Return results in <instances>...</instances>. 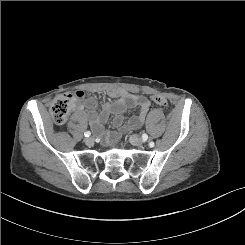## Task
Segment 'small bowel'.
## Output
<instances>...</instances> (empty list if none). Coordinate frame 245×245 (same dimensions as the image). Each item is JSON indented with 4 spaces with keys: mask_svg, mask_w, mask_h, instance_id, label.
<instances>
[{
    "mask_svg": "<svg viewBox=\"0 0 245 245\" xmlns=\"http://www.w3.org/2000/svg\"><path fill=\"white\" fill-rule=\"evenodd\" d=\"M77 92H83L81 90ZM107 94L113 101H106L102 110H95L96 103L92 98L84 100L83 105L88 109L87 117L94 133L104 135V124L110 115H114L113 127L119 130L137 129L144 123L150 109V101L144 96L133 94L122 89H110ZM134 108L135 114L124 124L123 119L128 109Z\"/></svg>",
    "mask_w": 245,
    "mask_h": 245,
    "instance_id": "small-bowel-1",
    "label": "small bowel"
}]
</instances>
